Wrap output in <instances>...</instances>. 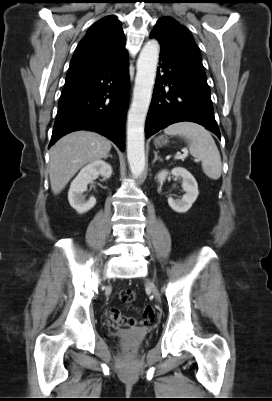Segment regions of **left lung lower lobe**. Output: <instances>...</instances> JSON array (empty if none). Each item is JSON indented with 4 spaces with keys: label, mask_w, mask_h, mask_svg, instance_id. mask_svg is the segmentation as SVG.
Instances as JSON below:
<instances>
[{
    "label": "left lung lower lobe",
    "mask_w": 272,
    "mask_h": 401,
    "mask_svg": "<svg viewBox=\"0 0 272 401\" xmlns=\"http://www.w3.org/2000/svg\"><path fill=\"white\" fill-rule=\"evenodd\" d=\"M181 121L198 123L221 139L203 66L161 48L145 136Z\"/></svg>",
    "instance_id": "0a47b994"
}]
</instances>
